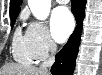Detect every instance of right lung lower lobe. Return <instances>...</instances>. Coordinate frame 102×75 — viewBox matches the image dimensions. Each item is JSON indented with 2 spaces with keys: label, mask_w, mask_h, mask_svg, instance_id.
I'll use <instances>...</instances> for the list:
<instances>
[{
  "label": "right lung lower lobe",
  "mask_w": 102,
  "mask_h": 75,
  "mask_svg": "<svg viewBox=\"0 0 102 75\" xmlns=\"http://www.w3.org/2000/svg\"><path fill=\"white\" fill-rule=\"evenodd\" d=\"M86 0H71V10L76 18V28L66 45L57 53L55 63L51 68L53 75H72L80 44L82 22L85 16Z\"/></svg>",
  "instance_id": "1"
}]
</instances>
